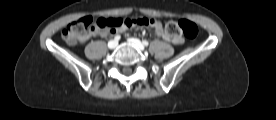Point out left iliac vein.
<instances>
[{"mask_svg":"<svg viewBox=\"0 0 276 120\" xmlns=\"http://www.w3.org/2000/svg\"><path fill=\"white\" fill-rule=\"evenodd\" d=\"M128 43L135 46L136 48H138L141 51H143L145 48L144 45L141 43V41L136 38H129Z\"/></svg>","mask_w":276,"mask_h":120,"instance_id":"obj_1","label":"left iliac vein"}]
</instances>
